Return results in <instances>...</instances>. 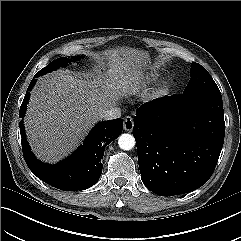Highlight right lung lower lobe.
Listing matches in <instances>:
<instances>
[{
    "label": "right lung lower lobe",
    "instance_id": "right-lung-lower-lobe-1",
    "mask_svg": "<svg viewBox=\"0 0 241 241\" xmlns=\"http://www.w3.org/2000/svg\"><path fill=\"white\" fill-rule=\"evenodd\" d=\"M38 76L37 74L34 76L27 89L19 111L20 118L25 115L30 97L29 91ZM19 126L23 156L29 169L51 186L64 191H73L84 190L97 183L102 173L101 159L104 149L122 133L123 120L117 118L98 123L83 144L70 157L56 165L42 163L33 155L25 136L23 121Z\"/></svg>",
    "mask_w": 241,
    "mask_h": 241
}]
</instances>
